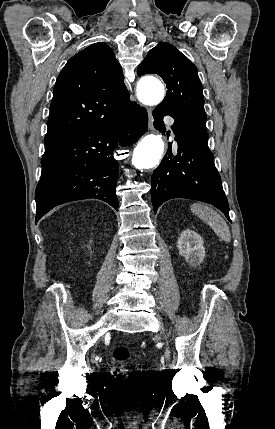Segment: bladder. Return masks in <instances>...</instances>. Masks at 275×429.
<instances>
[{
    "mask_svg": "<svg viewBox=\"0 0 275 429\" xmlns=\"http://www.w3.org/2000/svg\"><path fill=\"white\" fill-rule=\"evenodd\" d=\"M135 389H131L132 385ZM130 382H119L118 389L112 390L113 398H123L124 403H139L140 398H147V389H144L146 380L144 377H133Z\"/></svg>",
    "mask_w": 275,
    "mask_h": 429,
    "instance_id": "bladder-1",
    "label": "bladder"
}]
</instances>
